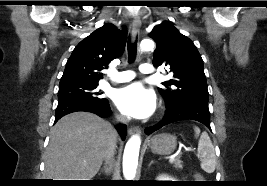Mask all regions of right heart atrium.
Segmentation results:
<instances>
[{
  "mask_svg": "<svg viewBox=\"0 0 267 186\" xmlns=\"http://www.w3.org/2000/svg\"><path fill=\"white\" fill-rule=\"evenodd\" d=\"M117 118H118L119 120H122V119H123V116H122V115H117Z\"/></svg>",
  "mask_w": 267,
  "mask_h": 186,
  "instance_id": "d8ad5b80",
  "label": "right heart atrium"
}]
</instances>
